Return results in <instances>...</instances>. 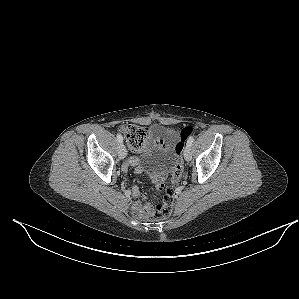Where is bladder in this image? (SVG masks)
Wrapping results in <instances>:
<instances>
[{
	"mask_svg": "<svg viewBox=\"0 0 299 299\" xmlns=\"http://www.w3.org/2000/svg\"><path fill=\"white\" fill-rule=\"evenodd\" d=\"M176 141V133L158 130L144 152L142 163L153 168L170 167L176 159Z\"/></svg>",
	"mask_w": 299,
	"mask_h": 299,
	"instance_id": "31cf9c89",
	"label": "bladder"
}]
</instances>
